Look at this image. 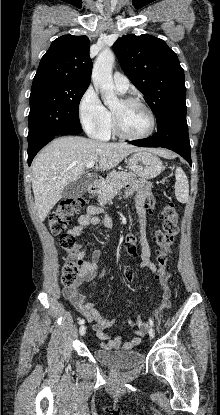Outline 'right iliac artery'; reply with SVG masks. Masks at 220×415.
<instances>
[{
	"instance_id": "obj_1",
	"label": "right iliac artery",
	"mask_w": 220,
	"mask_h": 415,
	"mask_svg": "<svg viewBox=\"0 0 220 415\" xmlns=\"http://www.w3.org/2000/svg\"><path fill=\"white\" fill-rule=\"evenodd\" d=\"M84 322H85V321H84V319H80V320H79V324H80V325L84 324Z\"/></svg>"
}]
</instances>
